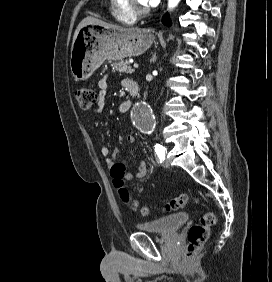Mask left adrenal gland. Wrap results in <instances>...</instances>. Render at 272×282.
<instances>
[{"label": "left adrenal gland", "mask_w": 272, "mask_h": 282, "mask_svg": "<svg viewBox=\"0 0 272 282\" xmlns=\"http://www.w3.org/2000/svg\"><path fill=\"white\" fill-rule=\"evenodd\" d=\"M156 59H157L156 52H154L150 61L154 63Z\"/></svg>", "instance_id": "obj_1"}]
</instances>
